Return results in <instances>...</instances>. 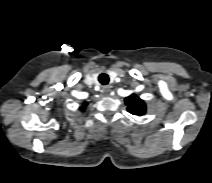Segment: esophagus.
Wrapping results in <instances>:
<instances>
[{
	"mask_svg": "<svg viewBox=\"0 0 212 183\" xmlns=\"http://www.w3.org/2000/svg\"><path fill=\"white\" fill-rule=\"evenodd\" d=\"M102 91H103L105 96H108L110 94V92H111V88H110V86H104L102 88Z\"/></svg>",
	"mask_w": 212,
	"mask_h": 183,
	"instance_id": "obj_1",
	"label": "esophagus"
}]
</instances>
